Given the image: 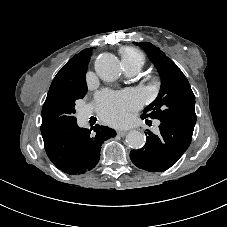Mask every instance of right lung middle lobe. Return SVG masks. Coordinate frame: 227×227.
<instances>
[{"mask_svg": "<svg viewBox=\"0 0 227 227\" xmlns=\"http://www.w3.org/2000/svg\"><path fill=\"white\" fill-rule=\"evenodd\" d=\"M87 93V85L72 86L63 84L50 86L42 108L41 133L43 139L51 134L66 130L77 124L75 102Z\"/></svg>", "mask_w": 227, "mask_h": 227, "instance_id": "obj_1", "label": "right lung middle lobe"}]
</instances>
